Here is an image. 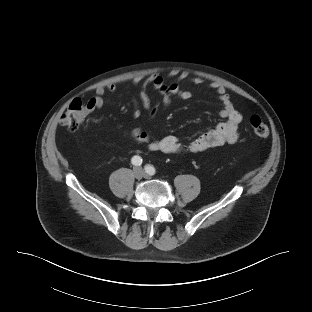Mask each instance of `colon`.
Returning <instances> with one entry per match:
<instances>
[{
  "label": "colon",
  "instance_id": "1",
  "mask_svg": "<svg viewBox=\"0 0 312 312\" xmlns=\"http://www.w3.org/2000/svg\"><path fill=\"white\" fill-rule=\"evenodd\" d=\"M88 112V106L84 102L73 100L61 116L60 124L70 130H76L83 124ZM249 124L256 136L260 138L268 137L269 128L259 116H252Z\"/></svg>",
  "mask_w": 312,
  "mask_h": 312
}]
</instances>
